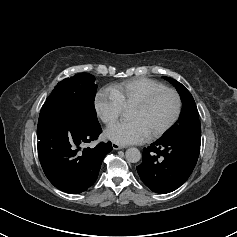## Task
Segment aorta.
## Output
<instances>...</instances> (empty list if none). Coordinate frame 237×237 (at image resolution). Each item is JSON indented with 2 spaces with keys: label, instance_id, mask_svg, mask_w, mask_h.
Returning <instances> with one entry per match:
<instances>
[{
  "label": "aorta",
  "instance_id": "aorta-1",
  "mask_svg": "<svg viewBox=\"0 0 237 237\" xmlns=\"http://www.w3.org/2000/svg\"><path fill=\"white\" fill-rule=\"evenodd\" d=\"M125 157L128 162L137 163L141 159V153L137 148L131 147L126 150Z\"/></svg>",
  "mask_w": 237,
  "mask_h": 237
}]
</instances>
